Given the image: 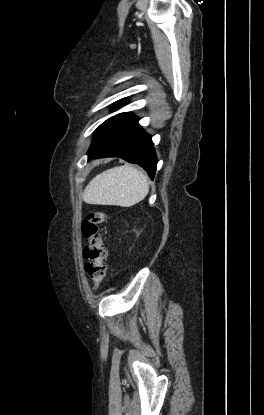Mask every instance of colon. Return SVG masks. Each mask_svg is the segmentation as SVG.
Segmentation results:
<instances>
[{
  "mask_svg": "<svg viewBox=\"0 0 264 415\" xmlns=\"http://www.w3.org/2000/svg\"><path fill=\"white\" fill-rule=\"evenodd\" d=\"M106 219V211L94 210L89 212L81 222V233L87 240L83 250L85 269L94 288L100 285L106 274L105 260L108 252L101 233Z\"/></svg>",
  "mask_w": 264,
  "mask_h": 415,
  "instance_id": "5ec220e1",
  "label": "colon"
}]
</instances>
